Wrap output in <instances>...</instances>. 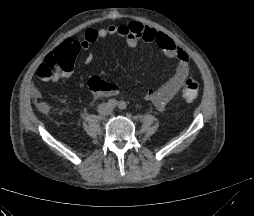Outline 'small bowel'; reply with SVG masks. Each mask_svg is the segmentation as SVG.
<instances>
[{
  "label": "small bowel",
  "instance_id": "obj_1",
  "mask_svg": "<svg viewBox=\"0 0 254 216\" xmlns=\"http://www.w3.org/2000/svg\"><path fill=\"white\" fill-rule=\"evenodd\" d=\"M109 36L122 38L130 48H135L140 41L155 43L168 58L177 61L175 74L160 88L150 90L146 93V98L151 101L158 110H165L178 94L181 87L186 83L190 72L188 54L168 35L152 27L145 26L140 22L133 21L124 25H109L105 28H88L85 31L83 41L79 42L75 38H67L52 53L64 50L74 51L77 44L80 45L81 49H86L90 43H94L99 39ZM90 61L91 55H88L86 57V63ZM63 76L70 77V70H66ZM54 81H58V78H55ZM89 87L94 93L95 98L115 95L120 91L117 84L106 82L96 76L90 79Z\"/></svg>",
  "mask_w": 254,
  "mask_h": 216
}]
</instances>
